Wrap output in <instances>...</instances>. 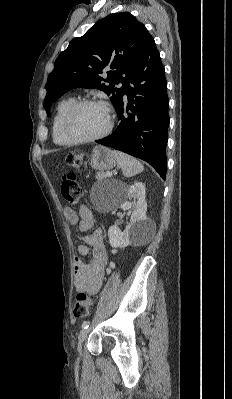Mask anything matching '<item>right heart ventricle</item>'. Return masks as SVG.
<instances>
[{"label":"right heart ventricle","mask_w":232,"mask_h":399,"mask_svg":"<svg viewBox=\"0 0 232 399\" xmlns=\"http://www.w3.org/2000/svg\"><path fill=\"white\" fill-rule=\"evenodd\" d=\"M76 102L74 98H69L61 101L55 108L52 118V139L53 142L65 148H70L76 145L71 141L63 131V118L67 110Z\"/></svg>","instance_id":"obj_1"}]
</instances>
